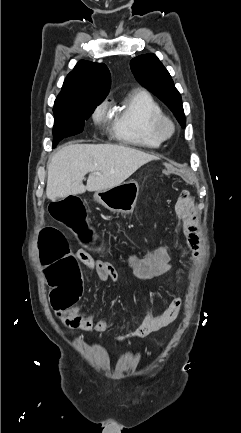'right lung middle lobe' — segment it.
<instances>
[{"label": "right lung middle lobe", "mask_w": 241, "mask_h": 433, "mask_svg": "<svg viewBox=\"0 0 241 433\" xmlns=\"http://www.w3.org/2000/svg\"><path fill=\"white\" fill-rule=\"evenodd\" d=\"M102 101L55 102L53 147L63 138L81 133L84 122Z\"/></svg>", "instance_id": "1"}]
</instances>
